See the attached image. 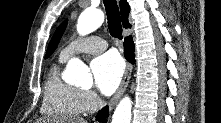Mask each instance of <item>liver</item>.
Segmentation results:
<instances>
[{"label":"liver","instance_id":"liver-1","mask_svg":"<svg viewBox=\"0 0 221 123\" xmlns=\"http://www.w3.org/2000/svg\"><path fill=\"white\" fill-rule=\"evenodd\" d=\"M41 121H43L44 123H45V120H37V123H41ZM68 122L69 123H87V121L86 120H83V119H81V118H71V119H69L68 120Z\"/></svg>","mask_w":221,"mask_h":123}]
</instances>
